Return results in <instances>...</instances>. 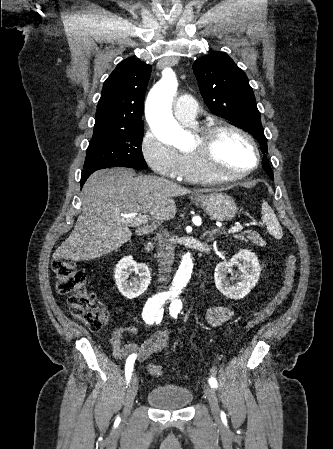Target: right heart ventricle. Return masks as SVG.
Returning <instances> with one entry per match:
<instances>
[{"label":"right heart ventricle","instance_id":"1","mask_svg":"<svg viewBox=\"0 0 333 449\" xmlns=\"http://www.w3.org/2000/svg\"><path fill=\"white\" fill-rule=\"evenodd\" d=\"M181 169L179 178L192 183L213 182L202 171L197 159L191 152L181 153Z\"/></svg>","mask_w":333,"mask_h":449}]
</instances>
